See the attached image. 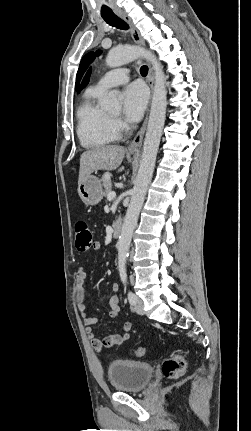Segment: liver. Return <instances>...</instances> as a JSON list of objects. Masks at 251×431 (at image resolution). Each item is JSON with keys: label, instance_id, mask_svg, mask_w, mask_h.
<instances>
[{"label": "liver", "instance_id": "6515ba94", "mask_svg": "<svg viewBox=\"0 0 251 431\" xmlns=\"http://www.w3.org/2000/svg\"><path fill=\"white\" fill-rule=\"evenodd\" d=\"M125 153L126 149L119 145L100 146L85 151L80 158L78 184L95 171L117 169L121 165Z\"/></svg>", "mask_w": 251, "mask_h": 431}]
</instances>
